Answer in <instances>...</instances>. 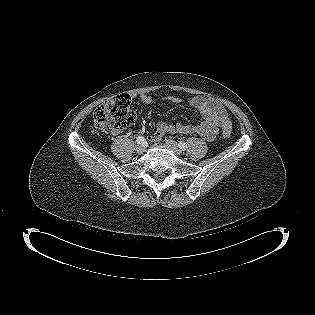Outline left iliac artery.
Instances as JSON below:
<instances>
[{
    "label": "left iliac artery",
    "instance_id": "obj_1",
    "mask_svg": "<svg viewBox=\"0 0 315 315\" xmlns=\"http://www.w3.org/2000/svg\"><path fill=\"white\" fill-rule=\"evenodd\" d=\"M179 147H180L182 150H186L187 144H186L185 142H180V143H179Z\"/></svg>",
    "mask_w": 315,
    "mask_h": 315
}]
</instances>
